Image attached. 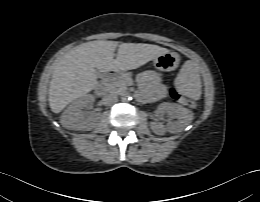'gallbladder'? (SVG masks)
I'll return each mask as SVG.
<instances>
[{"label":"gallbladder","instance_id":"obj_1","mask_svg":"<svg viewBox=\"0 0 260 202\" xmlns=\"http://www.w3.org/2000/svg\"><path fill=\"white\" fill-rule=\"evenodd\" d=\"M96 74H97V75H99V74H100V72H99V71H96Z\"/></svg>","mask_w":260,"mask_h":202}]
</instances>
